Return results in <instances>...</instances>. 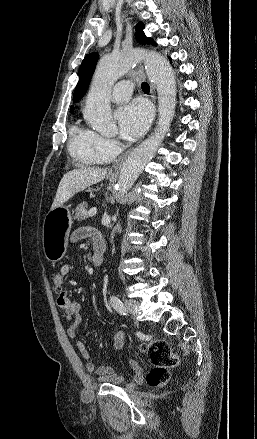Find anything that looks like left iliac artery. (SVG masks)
<instances>
[{
    "mask_svg": "<svg viewBox=\"0 0 257 439\" xmlns=\"http://www.w3.org/2000/svg\"><path fill=\"white\" fill-rule=\"evenodd\" d=\"M110 303L112 305V307L119 312L120 314L125 315L126 314V309L123 305V303L121 302V300L116 297V296H111L110 297Z\"/></svg>",
    "mask_w": 257,
    "mask_h": 439,
    "instance_id": "obj_1",
    "label": "left iliac artery"
}]
</instances>
